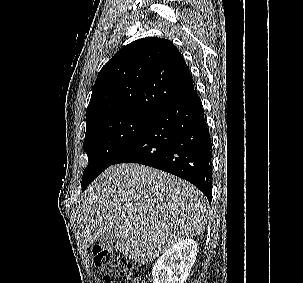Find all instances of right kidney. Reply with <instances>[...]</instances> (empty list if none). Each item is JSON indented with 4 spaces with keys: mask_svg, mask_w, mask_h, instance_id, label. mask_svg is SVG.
<instances>
[{
    "mask_svg": "<svg viewBox=\"0 0 303 283\" xmlns=\"http://www.w3.org/2000/svg\"><path fill=\"white\" fill-rule=\"evenodd\" d=\"M197 254V243L183 239L175 243L155 262L153 283H184L189 276Z\"/></svg>",
    "mask_w": 303,
    "mask_h": 283,
    "instance_id": "ca27d5eb",
    "label": "right kidney"
}]
</instances>
